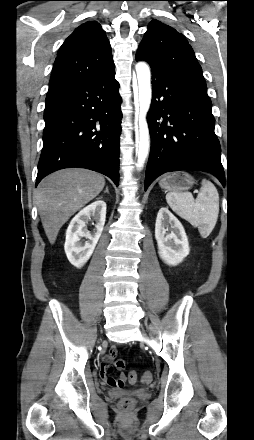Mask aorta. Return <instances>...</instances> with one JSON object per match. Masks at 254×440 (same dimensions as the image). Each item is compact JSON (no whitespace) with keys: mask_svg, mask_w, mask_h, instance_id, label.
<instances>
[{"mask_svg":"<svg viewBox=\"0 0 254 440\" xmlns=\"http://www.w3.org/2000/svg\"><path fill=\"white\" fill-rule=\"evenodd\" d=\"M136 73L138 80V96L135 101V121L136 124L139 118V127H137V150L138 168L141 169L149 153L150 137L149 129L146 121V115L151 104V73L150 68L145 62H138L136 64ZM139 128V129H138Z\"/></svg>","mask_w":254,"mask_h":440,"instance_id":"obj_1","label":"aorta"}]
</instances>
